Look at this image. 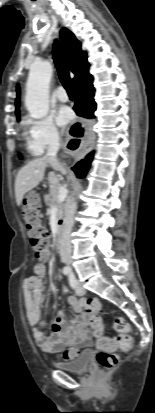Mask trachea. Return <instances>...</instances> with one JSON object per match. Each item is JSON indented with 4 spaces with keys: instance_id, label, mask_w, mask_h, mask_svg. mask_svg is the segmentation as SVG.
Listing matches in <instances>:
<instances>
[{
    "instance_id": "1",
    "label": "trachea",
    "mask_w": 155,
    "mask_h": 413,
    "mask_svg": "<svg viewBox=\"0 0 155 413\" xmlns=\"http://www.w3.org/2000/svg\"><path fill=\"white\" fill-rule=\"evenodd\" d=\"M53 54H54V62L56 64V68H57L61 83L63 84L64 88L67 90L68 94H74L72 81L70 79L69 72L65 64L64 52L57 40H55L53 44Z\"/></svg>"
}]
</instances>
